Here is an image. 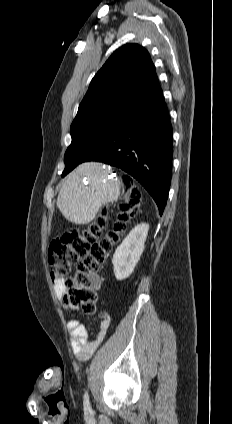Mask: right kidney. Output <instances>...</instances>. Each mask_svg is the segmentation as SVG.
Masks as SVG:
<instances>
[{
  "instance_id": "ca27d5eb",
  "label": "right kidney",
  "mask_w": 232,
  "mask_h": 424,
  "mask_svg": "<svg viewBox=\"0 0 232 424\" xmlns=\"http://www.w3.org/2000/svg\"><path fill=\"white\" fill-rule=\"evenodd\" d=\"M148 230L146 223L135 226L116 249L112 263L117 280H124L132 274L143 253Z\"/></svg>"
}]
</instances>
